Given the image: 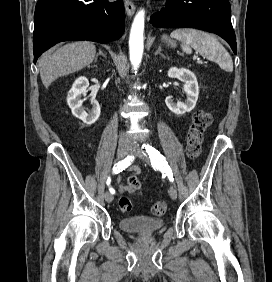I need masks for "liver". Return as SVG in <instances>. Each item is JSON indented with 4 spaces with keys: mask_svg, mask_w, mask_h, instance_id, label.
I'll list each match as a JSON object with an SVG mask.
<instances>
[{
    "mask_svg": "<svg viewBox=\"0 0 272 282\" xmlns=\"http://www.w3.org/2000/svg\"><path fill=\"white\" fill-rule=\"evenodd\" d=\"M95 54V45L88 41L69 43L45 53L39 60L43 85L48 88L57 78L90 65Z\"/></svg>",
    "mask_w": 272,
    "mask_h": 282,
    "instance_id": "1",
    "label": "liver"
}]
</instances>
